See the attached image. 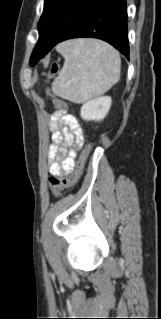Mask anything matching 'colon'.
Here are the masks:
<instances>
[{
  "instance_id": "5ec220e1",
  "label": "colon",
  "mask_w": 161,
  "mask_h": 319,
  "mask_svg": "<svg viewBox=\"0 0 161 319\" xmlns=\"http://www.w3.org/2000/svg\"><path fill=\"white\" fill-rule=\"evenodd\" d=\"M58 73H59V66L56 62H54L50 67L48 76L53 77L57 75ZM54 104L57 108H59L60 110L64 112L69 110V105L59 99H54ZM91 148H92L91 143L86 145V147L84 148L83 152L81 153L79 157L75 170L69 177L52 176L49 178V188L52 192L59 195L61 191L71 187L77 182V180L82 174L86 156Z\"/></svg>"
}]
</instances>
